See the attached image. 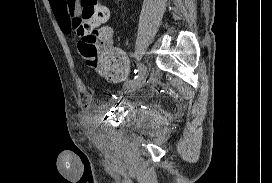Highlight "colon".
Wrapping results in <instances>:
<instances>
[{
	"label": "colon",
	"mask_w": 272,
	"mask_h": 183,
	"mask_svg": "<svg viewBox=\"0 0 272 183\" xmlns=\"http://www.w3.org/2000/svg\"><path fill=\"white\" fill-rule=\"evenodd\" d=\"M80 7V13L75 7ZM67 25L80 38L79 50L89 68L106 69L114 65L117 55L103 42L107 33L99 26L107 21L109 13L99 0H68Z\"/></svg>",
	"instance_id": "obj_1"
}]
</instances>
